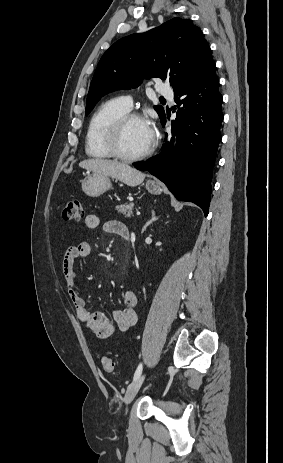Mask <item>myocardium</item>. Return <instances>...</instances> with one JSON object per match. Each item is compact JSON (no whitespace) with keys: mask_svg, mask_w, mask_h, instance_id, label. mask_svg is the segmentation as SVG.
Instances as JSON below:
<instances>
[{"mask_svg":"<svg viewBox=\"0 0 283 463\" xmlns=\"http://www.w3.org/2000/svg\"><path fill=\"white\" fill-rule=\"evenodd\" d=\"M132 120H141L147 122V119L142 114L138 112H127L116 118L108 127L105 134V146L111 156L125 162L143 160L150 156L155 148V138H153L150 146L142 153L128 155L120 149L119 142L123 129Z\"/></svg>","mask_w":283,"mask_h":463,"instance_id":"myocardium-1","label":"myocardium"}]
</instances>
